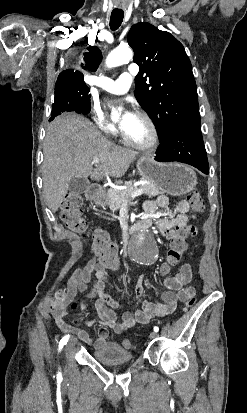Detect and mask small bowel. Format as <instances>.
Segmentation results:
<instances>
[{"label": "small bowel", "mask_w": 247, "mask_h": 413, "mask_svg": "<svg viewBox=\"0 0 247 413\" xmlns=\"http://www.w3.org/2000/svg\"><path fill=\"white\" fill-rule=\"evenodd\" d=\"M144 208L147 213V221L155 222L164 236L175 238L178 236V229L187 226V213L190 210V205L186 200H181L170 207L167 197L160 195L148 200ZM162 210L168 211L174 217L171 220L161 218L160 211ZM189 231L192 235H196L194 228H190ZM162 266L163 263L160 268H163ZM107 268L110 267L96 253L84 265L74 270L68 280L63 301L69 303L79 294L84 293L88 298H96L94 303L95 312L102 324L111 329L116 335L128 329L148 324L153 318L169 315L175 311L179 302L185 301L187 297L189 299L196 297L194 287L188 285L192 277V267L190 264H185L180 267L173 277L165 280L166 291L160 294L157 301L144 300L141 309L134 312H124L121 316V322H117L115 310L119 307V302L113 298L111 293L104 291L108 276ZM89 284L92 285L91 289H88ZM134 292L135 299L137 301L141 300L144 293L143 284L138 283ZM81 307L84 311H87V305L84 302H81ZM66 316L64 310L58 311L55 315V323L63 332L76 335L81 341L92 345L96 349H114L116 347L114 340H107L108 332L105 328L99 330L98 338L92 339L85 331L77 327V322H69Z\"/></svg>", "instance_id": "obj_1"}]
</instances>
